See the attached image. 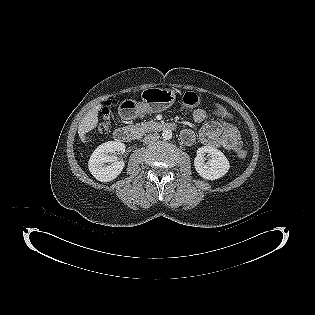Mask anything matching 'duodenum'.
I'll list each match as a JSON object with an SVG mask.
<instances>
[{"label": "duodenum", "mask_w": 315, "mask_h": 315, "mask_svg": "<svg viewBox=\"0 0 315 315\" xmlns=\"http://www.w3.org/2000/svg\"><path fill=\"white\" fill-rule=\"evenodd\" d=\"M150 126L152 129L158 131L175 129L174 124L168 122H154ZM135 138H136L135 131L128 127H120L116 129L114 132V139L120 143L130 142L133 141Z\"/></svg>", "instance_id": "1"}]
</instances>
